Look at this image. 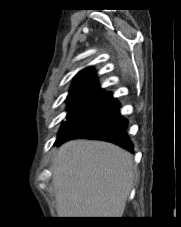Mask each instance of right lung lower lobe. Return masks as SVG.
Instances as JSON below:
<instances>
[{"instance_id":"98d812e1","label":"right lung lower lobe","mask_w":181,"mask_h":227,"mask_svg":"<svg viewBox=\"0 0 181 227\" xmlns=\"http://www.w3.org/2000/svg\"><path fill=\"white\" fill-rule=\"evenodd\" d=\"M119 107L118 101L111 97L100 110L70 126L55 144L59 146L70 139L88 138L112 142L132 152L127 122L120 115Z\"/></svg>"}]
</instances>
